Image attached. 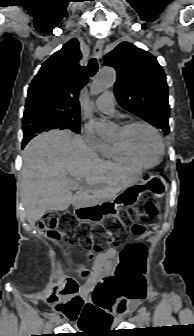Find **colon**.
Here are the masks:
<instances>
[{"label": "colon", "mask_w": 194, "mask_h": 336, "mask_svg": "<svg viewBox=\"0 0 194 336\" xmlns=\"http://www.w3.org/2000/svg\"><path fill=\"white\" fill-rule=\"evenodd\" d=\"M159 215L157 203L150 197L143 199V211L139 217L135 213H122L124 224L128 225L135 236L142 235L149 224L155 222ZM41 228L46 231L49 238L59 240L61 237L73 244H82L90 247L94 253L102 252L107 243H118L124 237V229L120 224H115L109 233H105L101 227L94 226L90 233L85 236H78L74 232V220L69 213L48 214L40 223ZM145 250L139 245L127 246L120 255L117 266V279L110 282L121 289L118 293V311L123 312L127 301L138 296L140 288L133 279V274L140 271L144 266ZM86 274V272H84ZM48 302L55 305L56 309L68 320L78 321L85 308V302L78 294V285L74 279L67 278L63 284L49 297Z\"/></svg>", "instance_id": "obj_1"}]
</instances>
